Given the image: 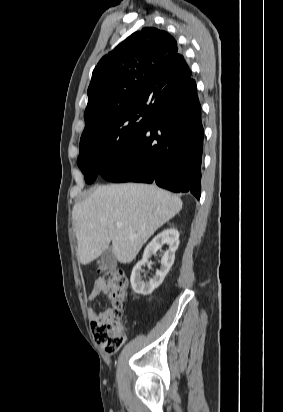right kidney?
Wrapping results in <instances>:
<instances>
[{
  "instance_id": "1",
  "label": "right kidney",
  "mask_w": 283,
  "mask_h": 412,
  "mask_svg": "<svg viewBox=\"0 0 283 412\" xmlns=\"http://www.w3.org/2000/svg\"><path fill=\"white\" fill-rule=\"evenodd\" d=\"M165 244L168 246V249L163 253L160 269L156 271V274L149 281L145 282L141 276L142 266L148 262L152 255L161 250ZM178 246L179 233L174 228L166 229L152 239L144 250L142 260L133 267L131 273L130 282L135 293L149 295L161 285L174 262Z\"/></svg>"
}]
</instances>
